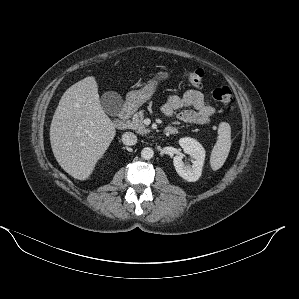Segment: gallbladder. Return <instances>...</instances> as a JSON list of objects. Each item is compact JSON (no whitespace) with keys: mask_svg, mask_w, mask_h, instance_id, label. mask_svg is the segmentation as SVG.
I'll use <instances>...</instances> for the list:
<instances>
[{"mask_svg":"<svg viewBox=\"0 0 299 299\" xmlns=\"http://www.w3.org/2000/svg\"><path fill=\"white\" fill-rule=\"evenodd\" d=\"M101 106L110 116H118L123 111L124 101L115 91H107L101 97Z\"/></svg>","mask_w":299,"mask_h":299,"instance_id":"obj_1","label":"gallbladder"}]
</instances>
